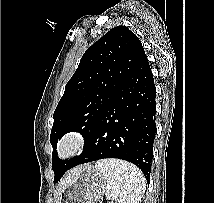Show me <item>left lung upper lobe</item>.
<instances>
[{"mask_svg":"<svg viewBox=\"0 0 214 203\" xmlns=\"http://www.w3.org/2000/svg\"><path fill=\"white\" fill-rule=\"evenodd\" d=\"M144 55L139 38L126 26L112 28L83 54L53 115L50 142L55 182L75 159L61 160L57 156L58 140L76 131L84 136L85 145L99 116Z\"/></svg>","mask_w":214,"mask_h":203,"instance_id":"1","label":"left lung upper lobe"}]
</instances>
